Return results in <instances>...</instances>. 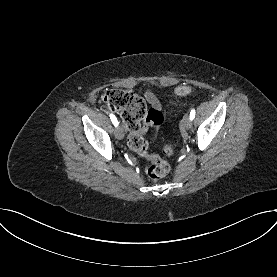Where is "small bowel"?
<instances>
[{"label": "small bowel", "instance_id": "c3829d8e", "mask_svg": "<svg viewBox=\"0 0 277 277\" xmlns=\"http://www.w3.org/2000/svg\"><path fill=\"white\" fill-rule=\"evenodd\" d=\"M145 98L149 102V104L152 106L153 109H157V110L161 111L160 101L158 100V98L156 97V95L154 93H152L150 91L146 92ZM149 127H150L149 124L144 123L141 128L142 132L145 133Z\"/></svg>", "mask_w": 277, "mask_h": 277}]
</instances>
